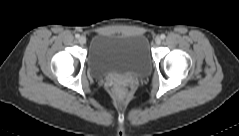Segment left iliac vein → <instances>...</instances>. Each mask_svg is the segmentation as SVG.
Listing matches in <instances>:
<instances>
[{
    "label": "left iliac vein",
    "mask_w": 239,
    "mask_h": 136,
    "mask_svg": "<svg viewBox=\"0 0 239 136\" xmlns=\"http://www.w3.org/2000/svg\"><path fill=\"white\" fill-rule=\"evenodd\" d=\"M160 43H161V38L160 37H156L155 38V44L156 45H160Z\"/></svg>",
    "instance_id": "1"
}]
</instances>
